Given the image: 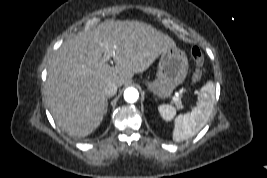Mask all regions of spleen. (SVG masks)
<instances>
[{"mask_svg":"<svg viewBox=\"0 0 267 178\" xmlns=\"http://www.w3.org/2000/svg\"><path fill=\"white\" fill-rule=\"evenodd\" d=\"M215 86L212 80L207 81L198 95V103L190 113L180 114L175 119L173 140L184 141L196 135L207 123L214 105ZM158 111L161 117L170 121L176 115V109L172 105H160Z\"/></svg>","mask_w":267,"mask_h":178,"instance_id":"spleen-1","label":"spleen"}]
</instances>
